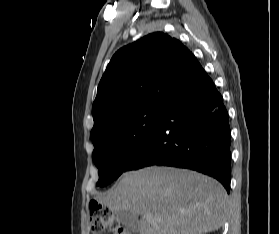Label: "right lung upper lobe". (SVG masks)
<instances>
[{"label":"right lung upper lobe","mask_w":279,"mask_h":234,"mask_svg":"<svg viewBox=\"0 0 279 234\" xmlns=\"http://www.w3.org/2000/svg\"><path fill=\"white\" fill-rule=\"evenodd\" d=\"M179 40L151 33L118 50L98 85L91 139L112 120L144 108L165 107L202 70Z\"/></svg>","instance_id":"right-lung-upper-lobe-1"}]
</instances>
